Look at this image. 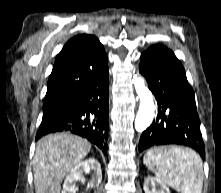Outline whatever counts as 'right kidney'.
Listing matches in <instances>:
<instances>
[{"mask_svg": "<svg viewBox=\"0 0 221 193\" xmlns=\"http://www.w3.org/2000/svg\"><path fill=\"white\" fill-rule=\"evenodd\" d=\"M93 170L92 181L90 182L91 186H98L102 180V171L100 163L94 159L89 158L83 162L78 163L70 172V174L66 177L62 193H76L78 187L76 186V182H84L83 173H89Z\"/></svg>", "mask_w": 221, "mask_h": 193, "instance_id": "obj_1", "label": "right kidney"}]
</instances>
